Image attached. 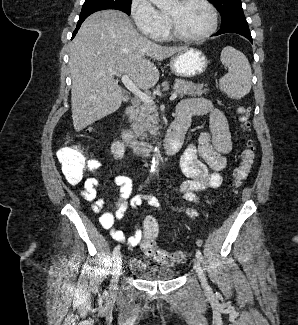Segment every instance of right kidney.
Instances as JSON below:
<instances>
[{
  "instance_id": "1",
  "label": "right kidney",
  "mask_w": 298,
  "mask_h": 325,
  "mask_svg": "<svg viewBox=\"0 0 298 325\" xmlns=\"http://www.w3.org/2000/svg\"><path fill=\"white\" fill-rule=\"evenodd\" d=\"M124 142H120V140H114L111 144V152L114 158H123L125 152Z\"/></svg>"
}]
</instances>
